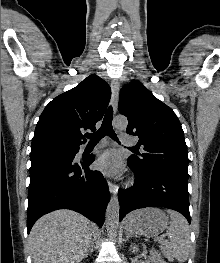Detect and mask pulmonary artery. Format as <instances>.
Listing matches in <instances>:
<instances>
[{
	"instance_id": "e3ab8cb5",
	"label": "pulmonary artery",
	"mask_w": 220,
	"mask_h": 263,
	"mask_svg": "<svg viewBox=\"0 0 220 263\" xmlns=\"http://www.w3.org/2000/svg\"><path fill=\"white\" fill-rule=\"evenodd\" d=\"M121 141L122 143L126 144V145H133L135 144V139L128 135V134H122L121 135ZM106 143L105 142H101L100 145L103 146L105 145Z\"/></svg>"
}]
</instances>
